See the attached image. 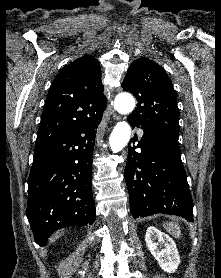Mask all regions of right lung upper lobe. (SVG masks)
Masks as SVG:
<instances>
[{
  "label": "right lung upper lobe",
  "instance_id": "cb5924a9",
  "mask_svg": "<svg viewBox=\"0 0 221 278\" xmlns=\"http://www.w3.org/2000/svg\"><path fill=\"white\" fill-rule=\"evenodd\" d=\"M103 90L98 60L85 55L66 65L48 92L35 148L84 121L101 118L107 102Z\"/></svg>",
  "mask_w": 221,
  "mask_h": 278
}]
</instances>
